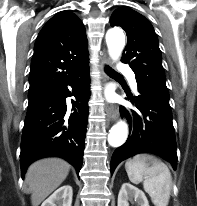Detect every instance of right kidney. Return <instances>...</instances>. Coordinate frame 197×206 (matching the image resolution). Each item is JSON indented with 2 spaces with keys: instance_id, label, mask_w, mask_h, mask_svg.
I'll return each instance as SVG.
<instances>
[{
  "instance_id": "right-kidney-1",
  "label": "right kidney",
  "mask_w": 197,
  "mask_h": 206,
  "mask_svg": "<svg viewBox=\"0 0 197 206\" xmlns=\"http://www.w3.org/2000/svg\"><path fill=\"white\" fill-rule=\"evenodd\" d=\"M72 195V187L70 185H64L46 199L41 206H71Z\"/></svg>"
}]
</instances>
